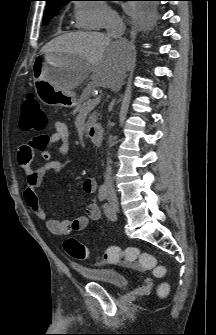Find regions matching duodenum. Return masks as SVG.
<instances>
[{
	"label": "duodenum",
	"mask_w": 216,
	"mask_h": 335,
	"mask_svg": "<svg viewBox=\"0 0 216 335\" xmlns=\"http://www.w3.org/2000/svg\"><path fill=\"white\" fill-rule=\"evenodd\" d=\"M87 135L95 146L102 142L103 129L101 125H94L88 129Z\"/></svg>",
	"instance_id": "410a0bca"
}]
</instances>
